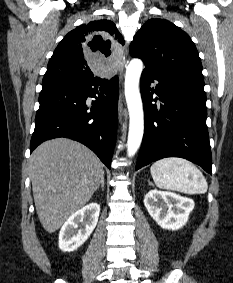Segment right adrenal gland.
<instances>
[{
    "label": "right adrenal gland",
    "instance_id": "2a0ac1e0",
    "mask_svg": "<svg viewBox=\"0 0 233 283\" xmlns=\"http://www.w3.org/2000/svg\"><path fill=\"white\" fill-rule=\"evenodd\" d=\"M104 184H105V180H104V176H102L101 182H100L102 189H104Z\"/></svg>",
    "mask_w": 233,
    "mask_h": 283
}]
</instances>
